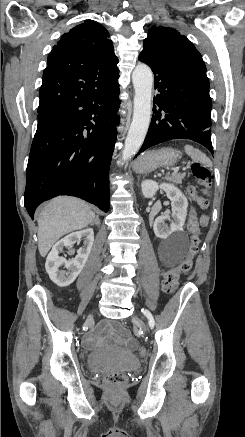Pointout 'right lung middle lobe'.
I'll list each match as a JSON object with an SVG mask.
<instances>
[{"instance_id": "1", "label": "right lung middle lobe", "mask_w": 245, "mask_h": 437, "mask_svg": "<svg viewBox=\"0 0 245 437\" xmlns=\"http://www.w3.org/2000/svg\"><path fill=\"white\" fill-rule=\"evenodd\" d=\"M41 114H42V113H39V114H38V117H39Z\"/></svg>"}]
</instances>
